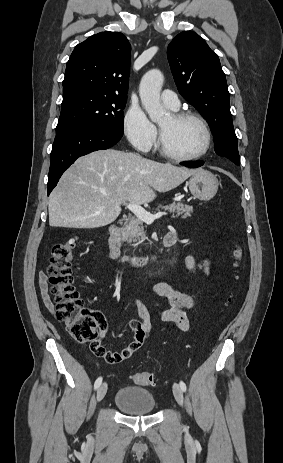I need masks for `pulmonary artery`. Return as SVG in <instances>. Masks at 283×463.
<instances>
[{
	"mask_svg": "<svg viewBox=\"0 0 283 463\" xmlns=\"http://www.w3.org/2000/svg\"><path fill=\"white\" fill-rule=\"evenodd\" d=\"M161 99L164 102V104L171 110H177L180 106V101L176 93L172 90H163L161 93Z\"/></svg>",
	"mask_w": 283,
	"mask_h": 463,
	"instance_id": "obj_1",
	"label": "pulmonary artery"
}]
</instances>
